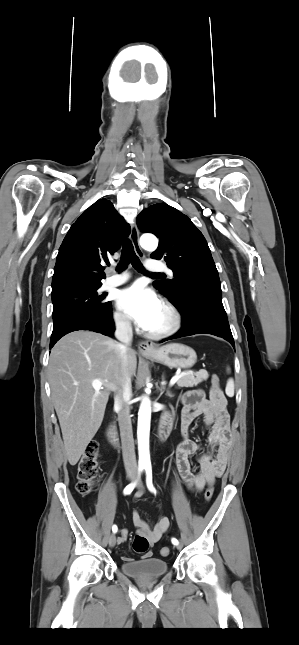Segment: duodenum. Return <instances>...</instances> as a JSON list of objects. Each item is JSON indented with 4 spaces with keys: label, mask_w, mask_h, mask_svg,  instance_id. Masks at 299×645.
<instances>
[{
    "label": "duodenum",
    "mask_w": 299,
    "mask_h": 645,
    "mask_svg": "<svg viewBox=\"0 0 299 645\" xmlns=\"http://www.w3.org/2000/svg\"><path fill=\"white\" fill-rule=\"evenodd\" d=\"M171 429H172V419H171V416L168 413H166L162 416V419L160 421L159 430H158L159 438L161 440H165L168 437ZM107 437H108V440L111 442V444L117 445L118 438H117L114 426L112 424L108 426Z\"/></svg>",
    "instance_id": "410a0bca"
}]
</instances>
